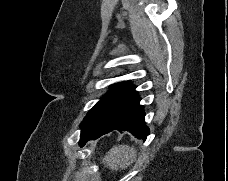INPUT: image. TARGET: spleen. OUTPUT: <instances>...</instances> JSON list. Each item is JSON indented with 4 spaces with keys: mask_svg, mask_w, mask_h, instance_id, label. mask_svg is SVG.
<instances>
[{
    "mask_svg": "<svg viewBox=\"0 0 228 181\" xmlns=\"http://www.w3.org/2000/svg\"><path fill=\"white\" fill-rule=\"evenodd\" d=\"M134 159H136V153L131 147H128V145H115L102 159V163H104L105 167H109L111 171H123V169L129 167L130 163H133Z\"/></svg>",
    "mask_w": 228,
    "mask_h": 181,
    "instance_id": "1",
    "label": "spleen"
}]
</instances>
